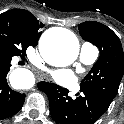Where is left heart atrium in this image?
<instances>
[{
  "instance_id": "1",
  "label": "left heart atrium",
  "mask_w": 124,
  "mask_h": 124,
  "mask_svg": "<svg viewBox=\"0 0 124 124\" xmlns=\"http://www.w3.org/2000/svg\"><path fill=\"white\" fill-rule=\"evenodd\" d=\"M52 77L56 83L61 86H70L75 82V75L72 71L61 69L52 73Z\"/></svg>"
}]
</instances>
